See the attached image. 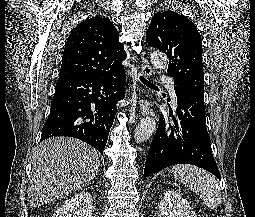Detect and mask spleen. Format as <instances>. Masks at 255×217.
Wrapping results in <instances>:
<instances>
[{"instance_id":"obj_1","label":"spleen","mask_w":255,"mask_h":217,"mask_svg":"<svg viewBox=\"0 0 255 217\" xmlns=\"http://www.w3.org/2000/svg\"><path fill=\"white\" fill-rule=\"evenodd\" d=\"M174 178L194 191L205 205L214 209L221 202V191L215 177L205 170L188 164L175 165L171 168Z\"/></svg>"}]
</instances>
